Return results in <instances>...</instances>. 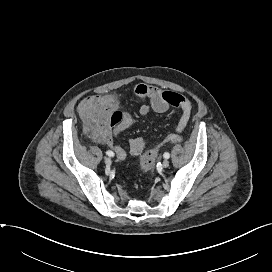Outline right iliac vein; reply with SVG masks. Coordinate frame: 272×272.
I'll return each mask as SVG.
<instances>
[{
  "label": "right iliac vein",
  "mask_w": 272,
  "mask_h": 272,
  "mask_svg": "<svg viewBox=\"0 0 272 272\" xmlns=\"http://www.w3.org/2000/svg\"><path fill=\"white\" fill-rule=\"evenodd\" d=\"M104 162H105V164H106L107 166H110L111 163H112V160H111V158L106 157L105 160H104Z\"/></svg>",
  "instance_id": "1"
}]
</instances>
